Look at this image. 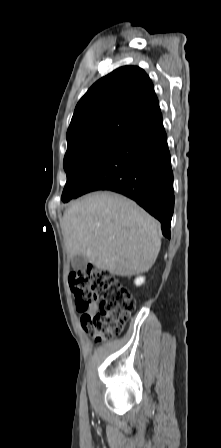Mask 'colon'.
<instances>
[{"label":"colon","instance_id":"colon-1","mask_svg":"<svg viewBox=\"0 0 221 448\" xmlns=\"http://www.w3.org/2000/svg\"><path fill=\"white\" fill-rule=\"evenodd\" d=\"M69 287L83 330L98 342L119 334L134 308L129 289L108 271L90 266L72 272ZM98 303V307L96 306ZM95 311H90L92 306Z\"/></svg>","mask_w":221,"mask_h":448}]
</instances>
